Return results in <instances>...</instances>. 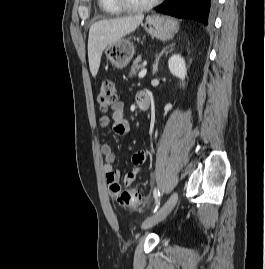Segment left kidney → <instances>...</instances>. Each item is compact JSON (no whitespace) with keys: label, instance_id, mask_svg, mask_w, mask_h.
I'll return each instance as SVG.
<instances>
[{"label":"left kidney","instance_id":"5707ae66","mask_svg":"<svg viewBox=\"0 0 265 269\" xmlns=\"http://www.w3.org/2000/svg\"><path fill=\"white\" fill-rule=\"evenodd\" d=\"M168 67L171 74L181 79L182 85H184L183 81L187 75V68L183 57L180 54L172 55L168 60Z\"/></svg>","mask_w":265,"mask_h":269}]
</instances>
